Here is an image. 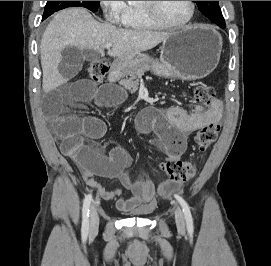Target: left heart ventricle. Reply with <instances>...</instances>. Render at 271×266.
<instances>
[{"label":"left heart ventricle","instance_id":"obj_1","mask_svg":"<svg viewBox=\"0 0 271 266\" xmlns=\"http://www.w3.org/2000/svg\"><path fill=\"white\" fill-rule=\"evenodd\" d=\"M159 14L169 22H184L190 14L188 1H155Z\"/></svg>","mask_w":271,"mask_h":266}]
</instances>
